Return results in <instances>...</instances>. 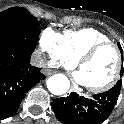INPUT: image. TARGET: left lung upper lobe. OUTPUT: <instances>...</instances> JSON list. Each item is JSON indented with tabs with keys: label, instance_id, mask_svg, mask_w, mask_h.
<instances>
[{
	"label": "left lung upper lobe",
	"instance_id": "left-lung-upper-lobe-1",
	"mask_svg": "<svg viewBox=\"0 0 124 124\" xmlns=\"http://www.w3.org/2000/svg\"><path fill=\"white\" fill-rule=\"evenodd\" d=\"M118 47H119V49H120V51H121V53H122L123 50H122V47H121V45H120L119 43H118ZM120 75H122V72L120 73ZM116 85L121 87V85H122V80H119Z\"/></svg>",
	"mask_w": 124,
	"mask_h": 124
}]
</instances>
